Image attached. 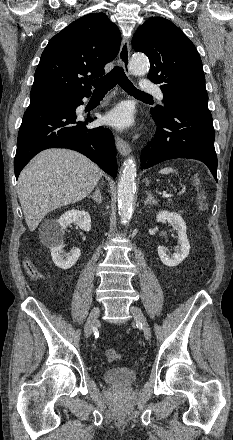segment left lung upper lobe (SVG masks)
I'll return each instance as SVG.
<instances>
[{"mask_svg":"<svg viewBox=\"0 0 233 440\" xmlns=\"http://www.w3.org/2000/svg\"><path fill=\"white\" fill-rule=\"evenodd\" d=\"M132 46L148 56V78L161 85L165 105L154 108L155 112L164 113L166 106L176 101L208 103L199 53L171 21L158 17L148 19L134 34Z\"/></svg>","mask_w":233,"mask_h":440,"instance_id":"left-lung-upper-lobe-1","label":"left lung upper lobe"}]
</instances>
